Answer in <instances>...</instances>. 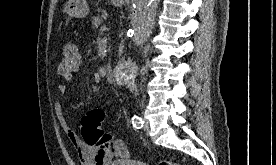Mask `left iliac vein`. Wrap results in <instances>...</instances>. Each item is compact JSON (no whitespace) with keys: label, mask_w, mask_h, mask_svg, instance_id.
I'll list each match as a JSON object with an SVG mask.
<instances>
[{"label":"left iliac vein","mask_w":276,"mask_h":165,"mask_svg":"<svg viewBox=\"0 0 276 165\" xmlns=\"http://www.w3.org/2000/svg\"><path fill=\"white\" fill-rule=\"evenodd\" d=\"M150 128V123L147 119L144 120V130L148 131Z\"/></svg>","instance_id":"4c4485c4"}]
</instances>
